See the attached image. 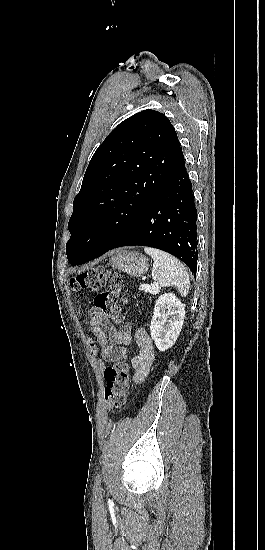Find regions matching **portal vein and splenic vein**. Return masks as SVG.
I'll return each instance as SVG.
<instances>
[{
    "label": "portal vein and splenic vein",
    "instance_id": "portal-vein-and-splenic-vein-1",
    "mask_svg": "<svg viewBox=\"0 0 265 550\" xmlns=\"http://www.w3.org/2000/svg\"><path fill=\"white\" fill-rule=\"evenodd\" d=\"M142 289L145 290L146 292H150V293H156L157 291L153 288H151L150 285L146 284V285H142Z\"/></svg>",
    "mask_w": 265,
    "mask_h": 550
}]
</instances>
